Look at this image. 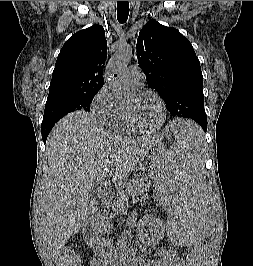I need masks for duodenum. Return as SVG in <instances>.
I'll return each instance as SVG.
<instances>
[{"label": "duodenum", "instance_id": "1", "mask_svg": "<svg viewBox=\"0 0 253 266\" xmlns=\"http://www.w3.org/2000/svg\"><path fill=\"white\" fill-rule=\"evenodd\" d=\"M86 237L90 240L93 241L94 240V227H90L88 228V233L86 235ZM98 261H103L104 265L103 266H115L116 262L115 259L109 256H106Z\"/></svg>", "mask_w": 253, "mask_h": 266}]
</instances>
